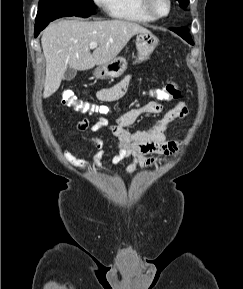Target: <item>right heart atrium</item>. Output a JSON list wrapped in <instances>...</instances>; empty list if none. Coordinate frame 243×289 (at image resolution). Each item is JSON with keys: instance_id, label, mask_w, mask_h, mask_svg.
<instances>
[{"instance_id": "1", "label": "right heart atrium", "mask_w": 243, "mask_h": 289, "mask_svg": "<svg viewBox=\"0 0 243 289\" xmlns=\"http://www.w3.org/2000/svg\"><path fill=\"white\" fill-rule=\"evenodd\" d=\"M94 2L101 8L107 10L109 9L111 0H94Z\"/></svg>"}]
</instances>
